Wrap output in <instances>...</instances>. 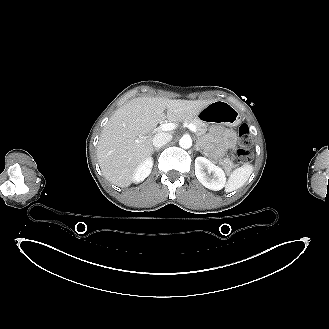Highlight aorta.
<instances>
[{"mask_svg": "<svg viewBox=\"0 0 329 329\" xmlns=\"http://www.w3.org/2000/svg\"><path fill=\"white\" fill-rule=\"evenodd\" d=\"M179 146L184 149H189L192 146V139L189 135H184L179 140Z\"/></svg>", "mask_w": 329, "mask_h": 329, "instance_id": "obj_1", "label": "aorta"}]
</instances>
